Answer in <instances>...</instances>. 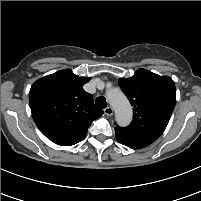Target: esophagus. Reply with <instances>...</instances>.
Wrapping results in <instances>:
<instances>
[{
    "mask_svg": "<svg viewBox=\"0 0 201 201\" xmlns=\"http://www.w3.org/2000/svg\"><path fill=\"white\" fill-rule=\"evenodd\" d=\"M104 113L107 115V116H112L113 115V108L111 106H108L104 109Z\"/></svg>",
    "mask_w": 201,
    "mask_h": 201,
    "instance_id": "esophagus-1",
    "label": "esophagus"
}]
</instances>
